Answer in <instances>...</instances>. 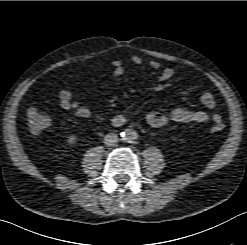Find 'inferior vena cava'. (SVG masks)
I'll return each mask as SVG.
<instances>
[{"mask_svg":"<svg viewBox=\"0 0 247 245\" xmlns=\"http://www.w3.org/2000/svg\"><path fill=\"white\" fill-rule=\"evenodd\" d=\"M118 142V136L116 133H108L104 137V144L106 146H114Z\"/></svg>","mask_w":247,"mask_h":245,"instance_id":"inferior-vena-cava-1","label":"inferior vena cava"}]
</instances>
